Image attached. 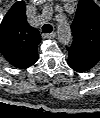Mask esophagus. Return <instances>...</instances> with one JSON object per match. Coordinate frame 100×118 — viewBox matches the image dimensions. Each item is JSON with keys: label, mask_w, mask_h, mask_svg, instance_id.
Returning a JSON list of instances; mask_svg holds the SVG:
<instances>
[{"label": "esophagus", "mask_w": 100, "mask_h": 118, "mask_svg": "<svg viewBox=\"0 0 100 118\" xmlns=\"http://www.w3.org/2000/svg\"><path fill=\"white\" fill-rule=\"evenodd\" d=\"M44 38H48V39H53L56 37V33L52 32V33H47V34H43L42 35Z\"/></svg>", "instance_id": "34e87169"}]
</instances>
